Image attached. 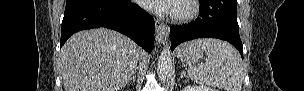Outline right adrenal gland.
<instances>
[{"label": "right adrenal gland", "instance_id": "right-adrenal-gland-1", "mask_svg": "<svg viewBox=\"0 0 304 91\" xmlns=\"http://www.w3.org/2000/svg\"><path fill=\"white\" fill-rule=\"evenodd\" d=\"M130 82H133L135 84V82H136V74L135 73L133 74L132 78L129 80L128 84Z\"/></svg>", "mask_w": 304, "mask_h": 91}]
</instances>
